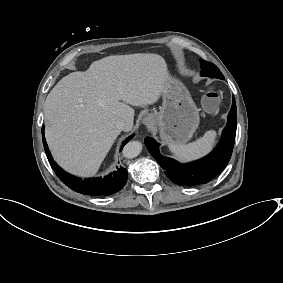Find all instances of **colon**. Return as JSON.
<instances>
[{
  "instance_id": "1",
  "label": "colon",
  "mask_w": 283,
  "mask_h": 283,
  "mask_svg": "<svg viewBox=\"0 0 283 283\" xmlns=\"http://www.w3.org/2000/svg\"><path fill=\"white\" fill-rule=\"evenodd\" d=\"M202 104L206 111H215L220 104V95L213 89L207 90L202 98Z\"/></svg>"
}]
</instances>
